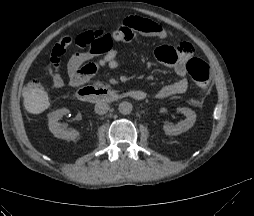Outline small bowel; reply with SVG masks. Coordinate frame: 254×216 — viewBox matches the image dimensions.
<instances>
[{
    "label": "small bowel",
    "mask_w": 254,
    "mask_h": 216,
    "mask_svg": "<svg viewBox=\"0 0 254 216\" xmlns=\"http://www.w3.org/2000/svg\"><path fill=\"white\" fill-rule=\"evenodd\" d=\"M137 36L163 39L168 36V32L163 26L154 21L136 17L122 22L113 37L119 43L126 44ZM72 43H76L82 51L75 53L68 60L67 82L70 86L79 87L84 85L102 68L114 70L118 67L117 50L112 46V42L106 49L101 50L96 46L79 44L75 36H65L55 45L50 56L49 73L55 89H62L66 84V80L61 73V59L66 47ZM192 54L193 48L186 41H181L174 47L161 46L155 50L156 59L172 67L180 77L174 83L161 87L156 93L158 98H168L187 91L188 81L184 76L187 61ZM138 91L144 97L146 96L145 91Z\"/></svg>",
    "instance_id": "c3829d8e"
}]
</instances>
